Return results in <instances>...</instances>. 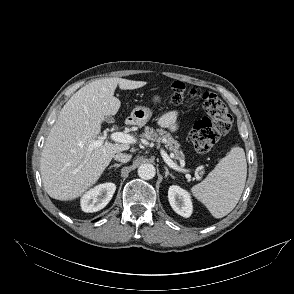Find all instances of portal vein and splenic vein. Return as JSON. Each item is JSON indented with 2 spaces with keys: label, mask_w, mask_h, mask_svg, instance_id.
Segmentation results:
<instances>
[{
  "label": "portal vein and splenic vein",
  "mask_w": 294,
  "mask_h": 294,
  "mask_svg": "<svg viewBox=\"0 0 294 294\" xmlns=\"http://www.w3.org/2000/svg\"><path fill=\"white\" fill-rule=\"evenodd\" d=\"M111 140H114L116 142L119 143H124V144H133L135 142V139L126 133L123 132H113L109 135ZM107 138V135H103L101 136L98 140L94 141L91 144V147H98L101 146L104 142V140ZM163 158L166 161V163L172 167L173 169L178 170L179 168L176 166V164L168 157L167 154H165L164 152H162Z\"/></svg>",
  "instance_id": "portal-vein-and-splenic-vein-1"
}]
</instances>
